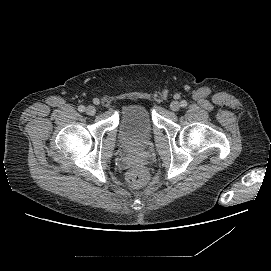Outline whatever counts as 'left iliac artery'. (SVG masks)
<instances>
[{
	"mask_svg": "<svg viewBox=\"0 0 271 271\" xmlns=\"http://www.w3.org/2000/svg\"><path fill=\"white\" fill-rule=\"evenodd\" d=\"M180 104H181V107H186L187 106V102L185 100L181 101Z\"/></svg>",
	"mask_w": 271,
	"mask_h": 271,
	"instance_id": "1",
	"label": "left iliac artery"
}]
</instances>
